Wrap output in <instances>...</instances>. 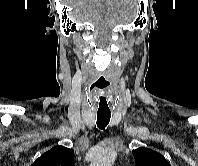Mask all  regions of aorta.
Here are the masks:
<instances>
[{"label": "aorta", "instance_id": "aorta-1", "mask_svg": "<svg viewBox=\"0 0 198 166\" xmlns=\"http://www.w3.org/2000/svg\"><path fill=\"white\" fill-rule=\"evenodd\" d=\"M115 156L114 152L100 153L94 158L90 166H113Z\"/></svg>", "mask_w": 198, "mask_h": 166}]
</instances>
